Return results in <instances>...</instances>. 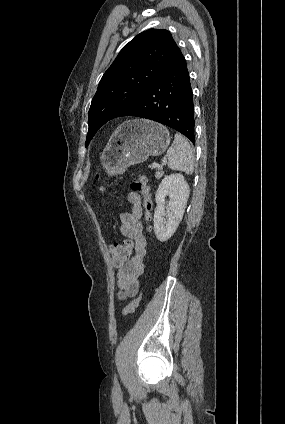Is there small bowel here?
<instances>
[{"mask_svg":"<svg viewBox=\"0 0 285 424\" xmlns=\"http://www.w3.org/2000/svg\"><path fill=\"white\" fill-rule=\"evenodd\" d=\"M127 200L132 209L130 212L120 213V232L131 243L134 255L117 266L116 285L119 299L133 297L138 293L140 277L145 270L143 260L147 243L141 222L143 216L141 196L137 192H129Z\"/></svg>","mask_w":285,"mask_h":424,"instance_id":"obj_1","label":"small bowel"}]
</instances>
